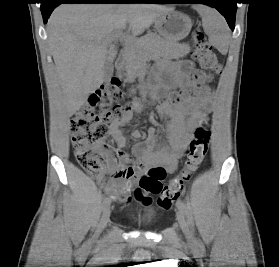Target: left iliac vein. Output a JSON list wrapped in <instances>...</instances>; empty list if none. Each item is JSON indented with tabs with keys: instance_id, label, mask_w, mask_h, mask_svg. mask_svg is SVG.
<instances>
[{
	"instance_id": "obj_1",
	"label": "left iliac vein",
	"mask_w": 279,
	"mask_h": 267,
	"mask_svg": "<svg viewBox=\"0 0 279 267\" xmlns=\"http://www.w3.org/2000/svg\"><path fill=\"white\" fill-rule=\"evenodd\" d=\"M177 219H178L179 225H180L181 230L184 233L185 237L187 238L188 241L192 242L193 234L189 228L188 222L186 221L182 211H178Z\"/></svg>"
}]
</instances>
